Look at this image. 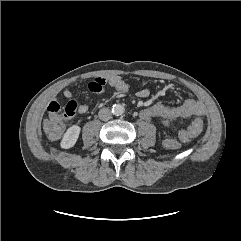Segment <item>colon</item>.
I'll use <instances>...</instances> for the list:
<instances>
[{
  "instance_id": "1",
  "label": "colon",
  "mask_w": 241,
  "mask_h": 241,
  "mask_svg": "<svg viewBox=\"0 0 241 241\" xmlns=\"http://www.w3.org/2000/svg\"><path fill=\"white\" fill-rule=\"evenodd\" d=\"M106 81L103 78H96L88 84L90 91L95 93H102L105 90ZM77 110V103L75 101H69L66 106H62L57 102H51L47 108L48 117L44 122V130L46 134L52 138H59L64 130L66 121L74 116ZM159 122L165 126L170 125V121L157 117ZM203 129V123L200 119H194L190 126L186 129V134L189 138L198 136ZM165 146L169 149H180L181 144L175 139L165 140Z\"/></svg>"
}]
</instances>
